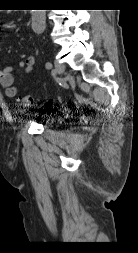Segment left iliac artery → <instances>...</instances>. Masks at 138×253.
I'll return each mask as SVG.
<instances>
[{
    "label": "left iliac artery",
    "instance_id": "left-iliac-artery-1",
    "mask_svg": "<svg viewBox=\"0 0 138 253\" xmlns=\"http://www.w3.org/2000/svg\"><path fill=\"white\" fill-rule=\"evenodd\" d=\"M46 68H47V69H51V68H52V64H51L50 62H47V63H46Z\"/></svg>",
    "mask_w": 138,
    "mask_h": 253
}]
</instances>
